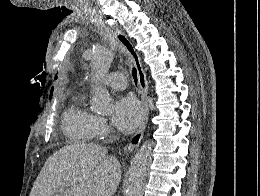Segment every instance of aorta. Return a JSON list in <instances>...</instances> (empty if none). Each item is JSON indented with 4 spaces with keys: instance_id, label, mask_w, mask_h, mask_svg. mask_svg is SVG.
I'll return each instance as SVG.
<instances>
[{
    "instance_id": "aorta-1",
    "label": "aorta",
    "mask_w": 260,
    "mask_h": 196,
    "mask_svg": "<svg viewBox=\"0 0 260 196\" xmlns=\"http://www.w3.org/2000/svg\"><path fill=\"white\" fill-rule=\"evenodd\" d=\"M113 51L99 48L94 52L91 60V76L94 82H100L108 73L113 61ZM112 98L108 90L98 86L94 90V106L101 113H107L111 108ZM153 142L145 141L133 157L129 168L126 196H143L148 170L151 165Z\"/></svg>"
}]
</instances>
